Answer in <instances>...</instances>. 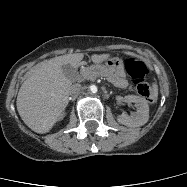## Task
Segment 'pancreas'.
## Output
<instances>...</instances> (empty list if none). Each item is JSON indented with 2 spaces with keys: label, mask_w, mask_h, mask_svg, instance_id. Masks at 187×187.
Here are the masks:
<instances>
[{
  "label": "pancreas",
  "mask_w": 187,
  "mask_h": 187,
  "mask_svg": "<svg viewBox=\"0 0 187 187\" xmlns=\"http://www.w3.org/2000/svg\"><path fill=\"white\" fill-rule=\"evenodd\" d=\"M98 76H103L108 81L117 84L115 79L109 73L108 69L104 66H91L80 72V78L82 80H95Z\"/></svg>",
  "instance_id": "obj_1"
}]
</instances>
